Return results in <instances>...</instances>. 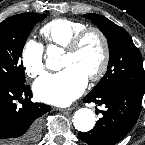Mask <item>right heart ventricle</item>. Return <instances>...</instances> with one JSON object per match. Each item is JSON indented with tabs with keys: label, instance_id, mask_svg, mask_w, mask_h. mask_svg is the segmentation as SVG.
I'll return each instance as SVG.
<instances>
[{
	"label": "right heart ventricle",
	"instance_id": "right-heart-ventricle-1",
	"mask_svg": "<svg viewBox=\"0 0 145 145\" xmlns=\"http://www.w3.org/2000/svg\"><path fill=\"white\" fill-rule=\"evenodd\" d=\"M86 27L85 23L78 20L57 18L43 25L40 33L48 45L65 48L70 40Z\"/></svg>",
	"mask_w": 145,
	"mask_h": 145
}]
</instances>
